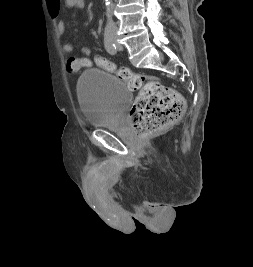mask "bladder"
I'll return each instance as SVG.
<instances>
[{
	"instance_id": "31cf9c89",
	"label": "bladder",
	"mask_w": 253,
	"mask_h": 267,
	"mask_svg": "<svg viewBox=\"0 0 253 267\" xmlns=\"http://www.w3.org/2000/svg\"><path fill=\"white\" fill-rule=\"evenodd\" d=\"M77 93L85 122L95 128L114 123L132 99L128 84L112 74L95 69L82 73Z\"/></svg>"
}]
</instances>
